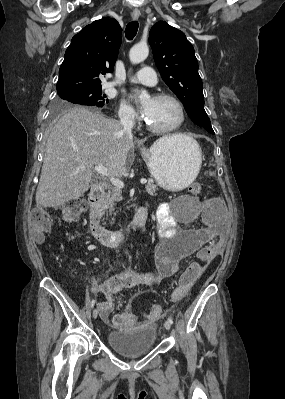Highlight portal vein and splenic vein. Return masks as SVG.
<instances>
[{
    "label": "portal vein and splenic vein",
    "mask_w": 285,
    "mask_h": 399,
    "mask_svg": "<svg viewBox=\"0 0 285 399\" xmlns=\"http://www.w3.org/2000/svg\"><path fill=\"white\" fill-rule=\"evenodd\" d=\"M94 170H95L97 173H99V174H101V175H103V176H108V169H107L106 167L102 166V165H97V166H95V167H94ZM110 181H111V183H112L114 186H116V187L119 188V189H121V188L124 187V182H123L122 180L118 179V178L111 177V178H110ZM140 182H141V184H146V183H147V180H146V179H141Z\"/></svg>",
    "instance_id": "portal-vein-and-splenic-vein-1"
}]
</instances>
